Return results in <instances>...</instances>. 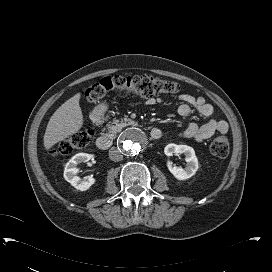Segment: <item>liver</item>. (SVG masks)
<instances>
[{
    "label": "liver",
    "mask_w": 272,
    "mask_h": 272,
    "mask_svg": "<svg viewBox=\"0 0 272 272\" xmlns=\"http://www.w3.org/2000/svg\"><path fill=\"white\" fill-rule=\"evenodd\" d=\"M80 96L77 93L69 98L51 116L43 138L46 150L82 128L84 120L79 105Z\"/></svg>",
    "instance_id": "liver-1"
}]
</instances>
